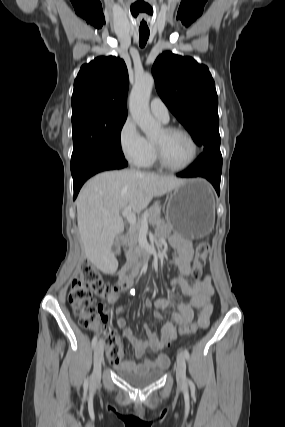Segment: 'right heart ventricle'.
<instances>
[{
    "label": "right heart ventricle",
    "instance_id": "right-heart-ventricle-1",
    "mask_svg": "<svg viewBox=\"0 0 285 427\" xmlns=\"http://www.w3.org/2000/svg\"><path fill=\"white\" fill-rule=\"evenodd\" d=\"M149 142H150V151H149V154L143 160V162L140 164V166L146 167V168L152 167L156 163V157H155V151H154L153 142H151V141H149Z\"/></svg>",
    "mask_w": 285,
    "mask_h": 427
}]
</instances>
